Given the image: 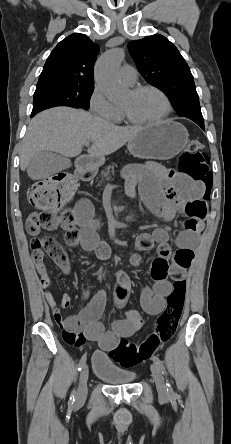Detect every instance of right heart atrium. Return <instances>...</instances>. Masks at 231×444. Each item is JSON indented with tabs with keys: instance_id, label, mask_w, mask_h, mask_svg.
<instances>
[{
	"instance_id": "1",
	"label": "right heart atrium",
	"mask_w": 231,
	"mask_h": 444,
	"mask_svg": "<svg viewBox=\"0 0 231 444\" xmlns=\"http://www.w3.org/2000/svg\"><path fill=\"white\" fill-rule=\"evenodd\" d=\"M89 106L91 111L101 118L111 121H117L119 118L120 110L108 100L98 87H95L90 95Z\"/></svg>"
}]
</instances>
